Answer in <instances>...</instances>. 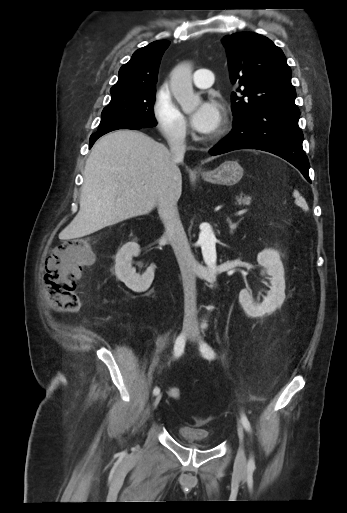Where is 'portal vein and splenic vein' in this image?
<instances>
[{
    "instance_id": "obj_1",
    "label": "portal vein and splenic vein",
    "mask_w": 347,
    "mask_h": 513,
    "mask_svg": "<svg viewBox=\"0 0 347 513\" xmlns=\"http://www.w3.org/2000/svg\"><path fill=\"white\" fill-rule=\"evenodd\" d=\"M247 211H248L247 209H243V210H241V211L239 212V214H240V215H244V214H246V213H247Z\"/></svg>"
}]
</instances>
